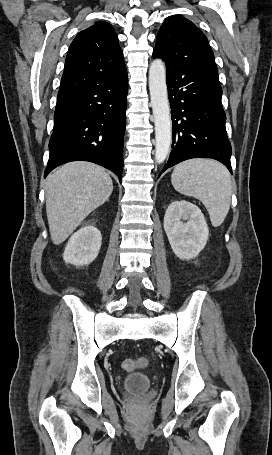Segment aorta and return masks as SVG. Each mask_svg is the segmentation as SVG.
I'll return each instance as SVG.
<instances>
[{
    "label": "aorta",
    "mask_w": 272,
    "mask_h": 455,
    "mask_svg": "<svg viewBox=\"0 0 272 455\" xmlns=\"http://www.w3.org/2000/svg\"><path fill=\"white\" fill-rule=\"evenodd\" d=\"M149 90L155 125V160L161 164L169 154L172 139L166 68L161 59H154L150 65Z\"/></svg>",
    "instance_id": "obj_1"
}]
</instances>
